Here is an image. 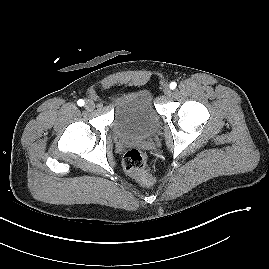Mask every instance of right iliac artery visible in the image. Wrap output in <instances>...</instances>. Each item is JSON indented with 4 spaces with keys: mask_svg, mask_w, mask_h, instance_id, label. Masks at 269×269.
I'll list each match as a JSON object with an SVG mask.
<instances>
[{
    "mask_svg": "<svg viewBox=\"0 0 269 269\" xmlns=\"http://www.w3.org/2000/svg\"><path fill=\"white\" fill-rule=\"evenodd\" d=\"M77 104H78L79 106H83V105L85 104V102H84V100L79 99V100L77 101Z\"/></svg>",
    "mask_w": 269,
    "mask_h": 269,
    "instance_id": "82829eb1",
    "label": "right iliac artery"
}]
</instances>
